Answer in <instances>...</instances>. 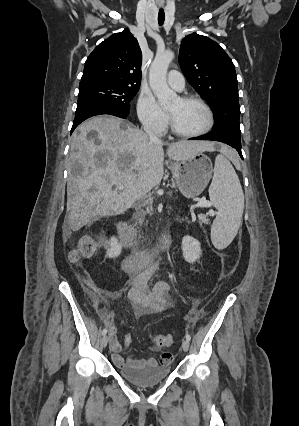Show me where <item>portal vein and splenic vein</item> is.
<instances>
[{"label": "portal vein and splenic vein", "instance_id": "1", "mask_svg": "<svg viewBox=\"0 0 299 426\" xmlns=\"http://www.w3.org/2000/svg\"><path fill=\"white\" fill-rule=\"evenodd\" d=\"M117 188L119 190H123L124 186L122 184L117 185ZM197 207H211V203L207 201L205 198L200 199L196 204L192 205L190 210L193 212V210Z\"/></svg>", "mask_w": 299, "mask_h": 426}]
</instances>
